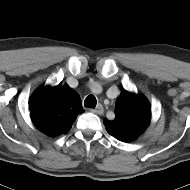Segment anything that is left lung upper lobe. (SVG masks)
<instances>
[{
	"instance_id": "5c2ea615",
	"label": "left lung upper lobe",
	"mask_w": 190,
	"mask_h": 190,
	"mask_svg": "<svg viewBox=\"0 0 190 190\" xmlns=\"http://www.w3.org/2000/svg\"><path fill=\"white\" fill-rule=\"evenodd\" d=\"M151 119V106L141 95L123 90L116 100L115 119H104L107 132L116 139L131 142L146 130Z\"/></svg>"
}]
</instances>
